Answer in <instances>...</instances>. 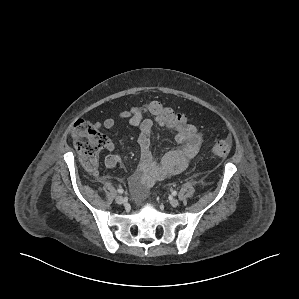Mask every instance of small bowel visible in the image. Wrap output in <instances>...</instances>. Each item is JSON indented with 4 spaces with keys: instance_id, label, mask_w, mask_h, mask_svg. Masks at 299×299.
<instances>
[{
    "instance_id": "c3829d8e",
    "label": "small bowel",
    "mask_w": 299,
    "mask_h": 299,
    "mask_svg": "<svg viewBox=\"0 0 299 299\" xmlns=\"http://www.w3.org/2000/svg\"><path fill=\"white\" fill-rule=\"evenodd\" d=\"M117 120L127 121L130 126L140 129L137 135L140 160L129 180L130 188L138 200L143 199L156 182L184 171L201 146L202 137L194 125L168 123L151 114L147 105L132 106L120 112L116 118H107L97 126L109 130ZM155 127L173 131L174 139L179 144L168 150L161 159H157L152 151ZM106 150L108 154L104 163L107 168L112 169L119 163V156L114 152L115 145L112 142L106 144Z\"/></svg>"
}]
</instances>
